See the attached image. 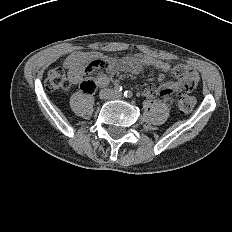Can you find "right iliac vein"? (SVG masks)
<instances>
[{
    "label": "right iliac vein",
    "instance_id": "63e3f726",
    "mask_svg": "<svg viewBox=\"0 0 232 232\" xmlns=\"http://www.w3.org/2000/svg\"><path fill=\"white\" fill-rule=\"evenodd\" d=\"M101 97L104 99L109 98V96H106L105 94L101 95Z\"/></svg>",
    "mask_w": 232,
    "mask_h": 232
}]
</instances>
